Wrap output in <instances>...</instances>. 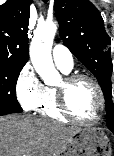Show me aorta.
I'll return each instance as SVG.
<instances>
[{
  "label": "aorta",
  "instance_id": "obj_1",
  "mask_svg": "<svg viewBox=\"0 0 114 156\" xmlns=\"http://www.w3.org/2000/svg\"><path fill=\"white\" fill-rule=\"evenodd\" d=\"M57 31V26L53 22H46L37 27L30 46V58L36 72L48 84H54L60 80V75L56 71L51 49L53 39Z\"/></svg>",
  "mask_w": 114,
  "mask_h": 156
}]
</instances>
